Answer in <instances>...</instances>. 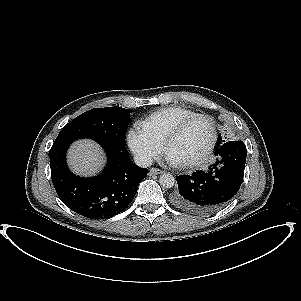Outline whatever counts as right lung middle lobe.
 <instances>
[{
  "label": "right lung middle lobe",
  "instance_id": "1",
  "mask_svg": "<svg viewBox=\"0 0 301 301\" xmlns=\"http://www.w3.org/2000/svg\"><path fill=\"white\" fill-rule=\"evenodd\" d=\"M131 112L121 107L91 109L66 124L55 141L91 138L111 140L125 146Z\"/></svg>",
  "mask_w": 301,
  "mask_h": 301
}]
</instances>
